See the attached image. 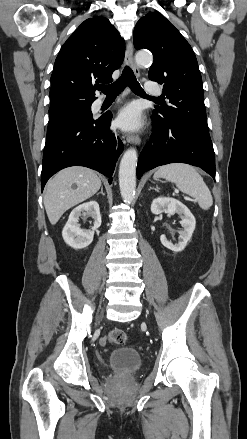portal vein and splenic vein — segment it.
I'll return each mask as SVG.
<instances>
[{"instance_id": "portal-vein-and-splenic-vein-1", "label": "portal vein and splenic vein", "mask_w": 247, "mask_h": 439, "mask_svg": "<svg viewBox=\"0 0 247 439\" xmlns=\"http://www.w3.org/2000/svg\"><path fill=\"white\" fill-rule=\"evenodd\" d=\"M186 200H190V198L188 196L185 197Z\"/></svg>"}]
</instances>
